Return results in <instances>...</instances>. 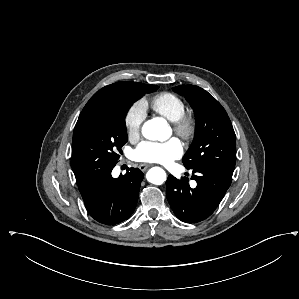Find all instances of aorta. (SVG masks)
<instances>
[{
	"instance_id": "762f6f07",
	"label": "aorta",
	"mask_w": 299,
	"mask_h": 299,
	"mask_svg": "<svg viewBox=\"0 0 299 299\" xmlns=\"http://www.w3.org/2000/svg\"><path fill=\"white\" fill-rule=\"evenodd\" d=\"M142 134L149 140L165 141L170 137L171 129L164 118L156 117L143 124ZM146 178L152 184L161 185L166 181V173L160 167H153L147 172Z\"/></svg>"
}]
</instances>
